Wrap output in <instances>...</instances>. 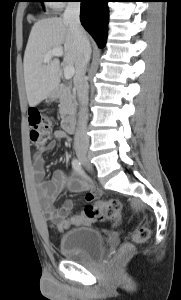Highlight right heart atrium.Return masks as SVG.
<instances>
[{
    "label": "right heart atrium",
    "instance_id": "right-heart-atrium-1",
    "mask_svg": "<svg viewBox=\"0 0 181 300\" xmlns=\"http://www.w3.org/2000/svg\"><path fill=\"white\" fill-rule=\"evenodd\" d=\"M53 2H54V3L52 4L53 7H54V8H57V9H58V8H61L62 5L64 4L62 0H53Z\"/></svg>",
    "mask_w": 181,
    "mask_h": 300
}]
</instances>
